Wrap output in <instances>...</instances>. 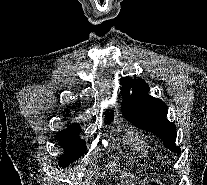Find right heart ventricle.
Returning <instances> with one entry per match:
<instances>
[{"instance_id": "1", "label": "right heart ventricle", "mask_w": 207, "mask_h": 185, "mask_svg": "<svg viewBox=\"0 0 207 185\" xmlns=\"http://www.w3.org/2000/svg\"><path fill=\"white\" fill-rule=\"evenodd\" d=\"M130 141L132 144H134L136 147L142 149V150H146V144L145 142L142 140L141 137L131 134L130 135Z\"/></svg>"}]
</instances>
